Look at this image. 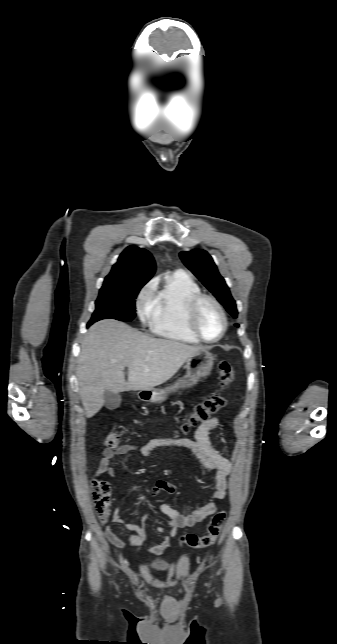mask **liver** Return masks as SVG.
Segmentation results:
<instances>
[{
	"mask_svg": "<svg viewBox=\"0 0 337 644\" xmlns=\"http://www.w3.org/2000/svg\"><path fill=\"white\" fill-rule=\"evenodd\" d=\"M203 348L153 338L113 319L93 324L82 341L76 371L86 417L103 407L105 391L152 390Z\"/></svg>",
	"mask_w": 337,
	"mask_h": 644,
	"instance_id": "obj_1",
	"label": "liver"
}]
</instances>
